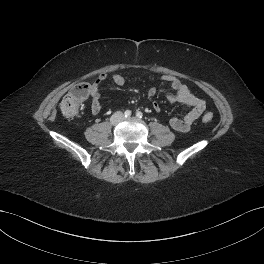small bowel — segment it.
Listing matches in <instances>:
<instances>
[{
    "label": "small bowel",
    "mask_w": 264,
    "mask_h": 264,
    "mask_svg": "<svg viewBox=\"0 0 264 264\" xmlns=\"http://www.w3.org/2000/svg\"><path fill=\"white\" fill-rule=\"evenodd\" d=\"M108 75L103 73L91 84V111L97 115L101 110L100 105V87L106 82ZM112 81L116 86H123L126 82L121 74H113ZM160 82L168 83L172 92L167 93L166 98L171 103H180L189 108L188 113L183 118L172 117L169 119V125L178 132L189 131L192 124L205 112L206 103L201 98L197 97L186 85H184L177 77L173 75H163L159 79ZM157 87L153 86L148 90V97L151 100L152 107L156 112L160 111V105L155 101L154 97L157 94Z\"/></svg>",
    "instance_id": "c3829d8e"
}]
</instances>
